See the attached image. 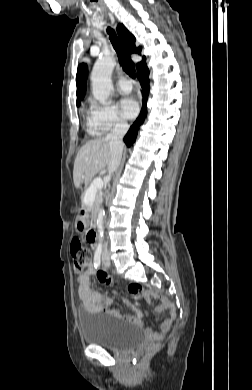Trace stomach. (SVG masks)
<instances>
[{
	"label": "stomach",
	"mask_w": 252,
	"mask_h": 390,
	"mask_svg": "<svg viewBox=\"0 0 252 390\" xmlns=\"http://www.w3.org/2000/svg\"><path fill=\"white\" fill-rule=\"evenodd\" d=\"M87 227L86 221L83 217H78L75 222V228L78 232L83 231Z\"/></svg>",
	"instance_id": "obj_1"
}]
</instances>
